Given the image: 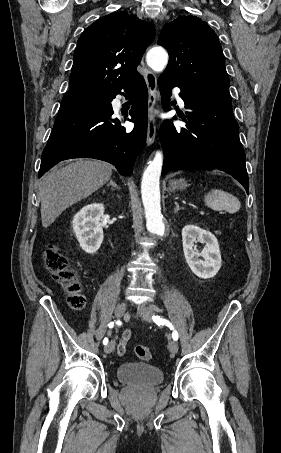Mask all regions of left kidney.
Listing matches in <instances>:
<instances>
[{
	"mask_svg": "<svg viewBox=\"0 0 281 453\" xmlns=\"http://www.w3.org/2000/svg\"><path fill=\"white\" fill-rule=\"evenodd\" d=\"M197 241L205 243L201 253L193 249L194 243ZM182 243L186 263L194 275L200 279H211L217 275L221 267V255L218 241L212 233L195 227V224H186L182 231ZM199 257H203L204 261H201Z\"/></svg>",
	"mask_w": 281,
	"mask_h": 453,
	"instance_id": "5707ae66",
	"label": "left kidney"
}]
</instances>
